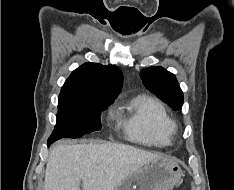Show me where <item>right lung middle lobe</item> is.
I'll return each instance as SVG.
<instances>
[{
    "label": "right lung middle lobe",
    "instance_id": "right-lung-middle-lobe-1",
    "mask_svg": "<svg viewBox=\"0 0 234 190\" xmlns=\"http://www.w3.org/2000/svg\"><path fill=\"white\" fill-rule=\"evenodd\" d=\"M109 102L59 96L57 123L48 141L77 138L101 128V111Z\"/></svg>",
    "mask_w": 234,
    "mask_h": 190
}]
</instances>
